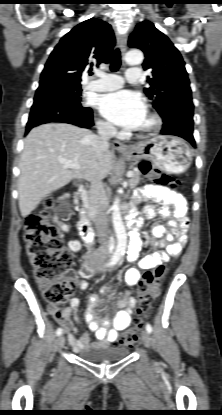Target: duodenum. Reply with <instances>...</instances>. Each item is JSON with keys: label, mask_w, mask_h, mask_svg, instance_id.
<instances>
[{"label": "duodenum", "mask_w": 222, "mask_h": 415, "mask_svg": "<svg viewBox=\"0 0 222 415\" xmlns=\"http://www.w3.org/2000/svg\"><path fill=\"white\" fill-rule=\"evenodd\" d=\"M77 191L79 192V194L81 195V197L86 196V191L84 186H78ZM134 222V219L132 217H129L127 220V223L129 226H131ZM78 228L79 231L82 235V237L87 241V242H91L93 240V230L90 224V217H89V212H88V207L85 204V201H82V205H81V209H80V221L78 223Z\"/></svg>", "instance_id": "obj_1"}]
</instances>
